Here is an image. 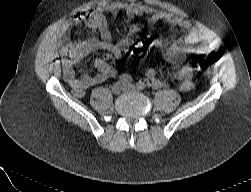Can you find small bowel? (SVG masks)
Here are the masks:
<instances>
[{
	"label": "small bowel",
	"instance_id": "1",
	"mask_svg": "<svg viewBox=\"0 0 251 192\" xmlns=\"http://www.w3.org/2000/svg\"><path fill=\"white\" fill-rule=\"evenodd\" d=\"M128 16L132 18L134 12H130ZM173 25L184 29L186 34L166 47L164 57L170 64L176 67L174 75L180 81V90L188 92L195 87L193 81L195 67L185 63V61L199 47H205L209 39L204 32L191 26L188 22H175ZM89 27L93 31H99V36H93L77 43L64 41L61 46L63 77L73 94L77 97L84 96L90 87L113 77L115 70L106 62L97 61L95 64V74L78 77L74 72V68L94 50H106L116 57H120L124 50L122 42L114 43L112 41L110 33L102 28L100 19L90 20ZM68 30L69 28L64 30L63 38ZM147 75L155 88L161 89L169 86L168 81L161 79L155 69H149Z\"/></svg>",
	"mask_w": 251,
	"mask_h": 192
}]
</instances>
